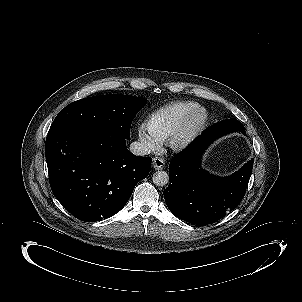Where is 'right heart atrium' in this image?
Here are the masks:
<instances>
[{
  "mask_svg": "<svg viewBox=\"0 0 302 302\" xmlns=\"http://www.w3.org/2000/svg\"><path fill=\"white\" fill-rule=\"evenodd\" d=\"M137 138L141 148L147 152H154L158 150L163 141L156 134L151 132L144 124L138 126Z\"/></svg>",
  "mask_w": 302,
  "mask_h": 302,
  "instance_id": "obj_1",
  "label": "right heart atrium"
}]
</instances>
